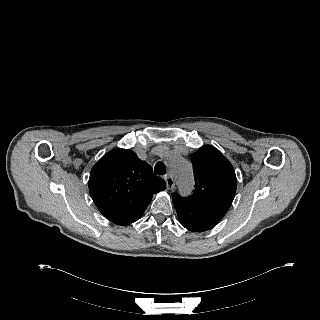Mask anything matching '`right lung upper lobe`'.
Wrapping results in <instances>:
<instances>
[{"mask_svg": "<svg viewBox=\"0 0 320 320\" xmlns=\"http://www.w3.org/2000/svg\"><path fill=\"white\" fill-rule=\"evenodd\" d=\"M163 179L129 149L105 154L92 168L89 191L99 211L111 222L124 225L138 220L152 199L165 190Z\"/></svg>", "mask_w": 320, "mask_h": 320, "instance_id": "obj_1", "label": "right lung upper lobe"}]
</instances>
